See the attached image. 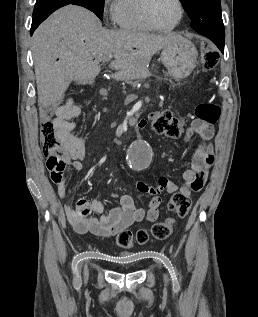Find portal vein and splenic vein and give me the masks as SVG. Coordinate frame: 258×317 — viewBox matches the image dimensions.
I'll list each match as a JSON object with an SVG mask.
<instances>
[{
  "label": "portal vein and splenic vein",
  "mask_w": 258,
  "mask_h": 317,
  "mask_svg": "<svg viewBox=\"0 0 258 317\" xmlns=\"http://www.w3.org/2000/svg\"><path fill=\"white\" fill-rule=\"evenodd\" d=\"M104 58H108V60H109V58H111V56H104Z\"/></svg>",
  "instance_id": "obj_1"
}]
</instances>
